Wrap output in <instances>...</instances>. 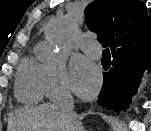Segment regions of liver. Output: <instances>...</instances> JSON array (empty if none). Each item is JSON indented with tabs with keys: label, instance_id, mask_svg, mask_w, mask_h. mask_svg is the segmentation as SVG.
Here are the masks:
<instances>
[{
	"label": "liver",
	"instance_id": "6515ba94",
	"mask_svg": "<svg viewBox=\"0 0 151 131\" xmlns=\"http://www.w3.org/2000/svg\"><path fill=\"white\" fill-rule=\"evenodd\" d=\"M8 131H84L78 116L47 103L15 112L8 121Z\"/></svg>",
	"mask_w": 151,
	"mask_h": 131
}]
</instances>
